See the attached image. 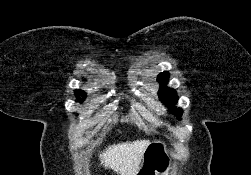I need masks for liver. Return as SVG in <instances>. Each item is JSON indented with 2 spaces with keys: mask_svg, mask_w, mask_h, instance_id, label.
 <instances>
[{
  "mask_svg": "<svg viewBox=\"0 0 251 175\" xmlns=\"http://www.w3.org/2000/svg\"><path fill=\"white\" fill-rule=\"evenodd\" d=\"M149 143V139L113 143L100 153V161L105 169L109 167L119 175H136Z\"/></svg>",
  "mask_w": 251,
  "mask_h": 175,
  "instance_id": "liver-1",
  "label": "liver"
}]
</instances>
